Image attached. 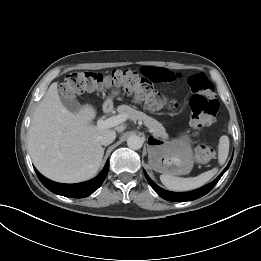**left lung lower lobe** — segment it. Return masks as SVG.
I'll list each match as a JSON object with an SVG mask.
<instances>
[{"mask_svg": "<svg viewBox=\"0 0 261 261\" xmlns=\"http://www.w3.org/2000/svg\"><path fill=\"white\" fill-rule=\"evenodd\" d=\"M232 158L230 160V162L228 163L227 167L222 171V173L211 183L197 189L191 192H184V193H176V192H170V191H166L162 188H160L159 186H157L147 175V173L144 170V174L145 177L147 179V181L149 182V184L151 185V187L156 191V193L161 196L162 198H164L165 200H169V201H176V202H184V201H191V200H195L198 199L202 196H204L205 194H207L215 185L216 183L219 181V179L222 177V175L225 173V171L228 169L229 165L231 164Z\"/></svg>", "mask_w": 261, "mask_h": 261, "instance_id": "left-lung-lower-lobe-1", "label": "left lung lower lobe"}]
</instances>
